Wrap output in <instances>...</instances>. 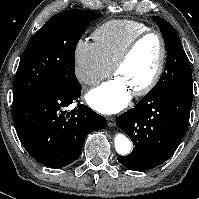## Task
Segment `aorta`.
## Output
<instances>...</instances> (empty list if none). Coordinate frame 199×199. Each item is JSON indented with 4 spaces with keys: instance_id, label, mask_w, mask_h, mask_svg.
Masks as SVG:
<instances>
[{
    "instance_id": "1",
    "label": "aorta",
    "mask_w": 199,
    "mask_h": 199,
    "mask_svg": "<svg viewBox=\"0 0 199 199\" xmlns=\"http://www.w3.org/2000/svg\"><path fill=\"white\" fill-rule=\"evenodd\" d=\"M132 148L130 140L123 134L115 136V149L119 155H127Z\"/></svg>"
}]
</instances>
